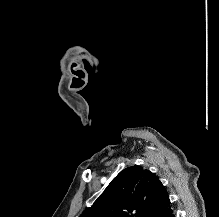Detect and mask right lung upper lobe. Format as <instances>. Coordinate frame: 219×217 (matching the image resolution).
Here are the masks:
<instances>
[{
	"instance_id": "right-lung-upper-lobe-1",
	"label": "right lung upper lobe",
	"mask_w": 219,
	"mask_h": 217,
	"mask_svg": "<svg viewBox=\"0 0 219 217\" xmlns=\"http://www.w3.org/2000/svg\"><path fill=\"white\" fill-rule=\"evenodd\" d=\"M170 204L158 177L135 165L122 170L80 217H165Z\"/></svg>"
}]
</instances>
